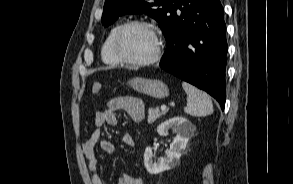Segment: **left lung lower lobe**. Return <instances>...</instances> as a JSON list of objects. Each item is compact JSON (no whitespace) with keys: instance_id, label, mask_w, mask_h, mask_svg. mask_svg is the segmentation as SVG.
I'll list each match as a JSON object with an SVG mask.
<instances>
[{"instance_id":"0a47b994","label":"left lung lower lobe","mask_w":293,"mask_h":184,"mask_svg":"<svg viewBox=\"0 0 293 184\" xmlns=\"http://www.w3.org/2000/svg\"><path fill=\"white\" fill-rule=\"evenodd\" d=\"M220 0H178L160 67L203 89L224 108L226 26Z\"/></svg>"}]
</instances>
